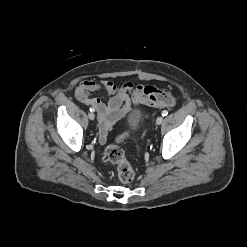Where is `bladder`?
Instances as JSON below:
<instances>
[{
    "instance_id": "31cf9c89",
    "label": "bladder",
    "mask_w": 247,
    "mask_h": 247,
    "mask_svg": "<svg viewBox=\"0 0 247 247\" xmlns=\"http://www.w3.org/2000/svg\"><path fill=\"white\" fill-rule=\"evenodd\" d=\"M143 113L139 109H133L126 115V120L132 131L136 130L141 122Z\"/></svg>"
}]
</instances>
